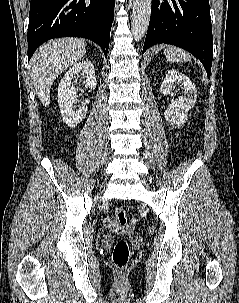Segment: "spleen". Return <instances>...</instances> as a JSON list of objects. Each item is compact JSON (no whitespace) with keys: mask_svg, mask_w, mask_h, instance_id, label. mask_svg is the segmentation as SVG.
Segmentation results:
<instances>
[{"mask_svg":"<svg viewBox=\"0 0 239 303\" xmlns=\"http://www.w3.org/2000/svg\"><path fill=\"white\" fill-rule=\"evenodd\" d=\"M164 54L169 62L191 61V56L183 49L177 47H169L165 49Z\"/></svg>","mask_w":239,"mask_h":303,"instance_id":"3e777b00","label":"spleen"}]
</instances>
